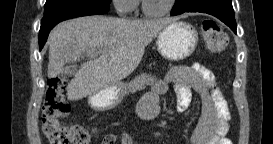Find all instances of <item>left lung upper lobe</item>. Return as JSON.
<instances>
[{"instance_id":"1","label":"left lung upper lobe","mask_w":273,"mask_h":144,"mask_svg":"<svg viewBox=\"0 0 273 144\" xmlns=\"http://www.w3.org/2000/svg\"><path fill=\"white\" fill-rule=\"evenodd\" d=\"M183 1H185V0H176L175 5H179V4H181Z\"/></svg>"}]
</instances>
